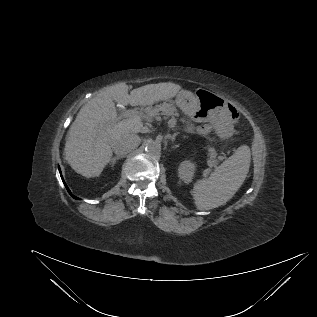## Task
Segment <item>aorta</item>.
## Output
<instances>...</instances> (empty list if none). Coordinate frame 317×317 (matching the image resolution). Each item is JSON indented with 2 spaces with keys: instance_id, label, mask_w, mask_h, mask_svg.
Masks as SVG:
<instances>
[{
  "instance_id": "762f6f07",
  "label": "aorta",
  "mask_w": 317,
  "mask_h": 317,
  "mask_svg": "<svg viewBox=\"0 0 317 317\" xmlns=\"http://www.w3.org/2000/svg\"><path fill=\"white\" fill-rule=\"evenodd\" d=\"M144 148L147 154L158 157L161 154V143L157 140H147L144 144Z\"/></svg>"
}]
</instances>
